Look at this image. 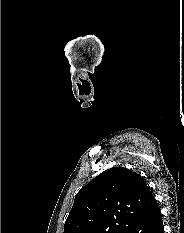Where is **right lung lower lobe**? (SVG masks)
Wrapping results in <instances>:
<instances>
[{
	"mask_svg": "<svg viewBox=\"0 0 184 233\" xmlns=\"http://www.w3.org/2000/svg\"><path fill=\"white\" fill-rule=\"evenodd\" d=\"M127 233H164L162 215L158 205L134 224Z\"/></svg>",
	"mask_w": 184,
	"mask_h": 233,
	"instance_id": "1",
	"label": "right lung lower lobe"
}]
</instances>
